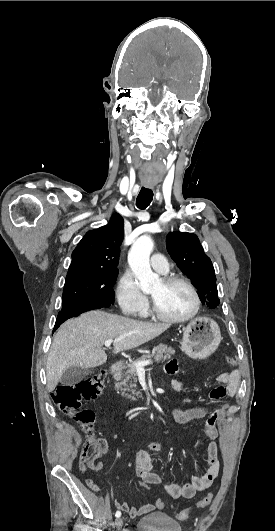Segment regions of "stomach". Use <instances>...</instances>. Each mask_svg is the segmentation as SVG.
I'll return each mask as SVG.
<instances>
[{
  "label": "stomach",
  "instance_id": "1",
  "mask_svg": "<svg viewBox=\"0 0 275 531\" xmlns=\"http://www.w3.org/2000/svg\"><path fill=\"white\" fill-rule=\"evenodd\" d=\"M222 341L216 321L197 317L187 325L182 339V351L191 359H207L215 353Z\"/></svg>",
  "mask_w": 275,
  "mask_h": 531
}]
</instances>
